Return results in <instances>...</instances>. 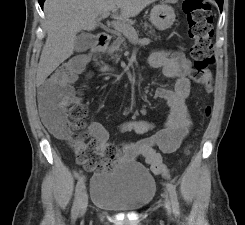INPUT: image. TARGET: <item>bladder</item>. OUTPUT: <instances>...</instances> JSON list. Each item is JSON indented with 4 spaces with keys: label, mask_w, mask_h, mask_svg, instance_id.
Wrapping results in <instances>:
<instances>
[{
    "label": "bladder",
    "mask_w": 245,
    "mask_h": 225,
    "mask_svg": "<svg viewBox=\"0 0 245 225\" xmlns=\"http://www.w3.org/2000/svg\"><path fill=\"white\" fill-rule=\"evenodd\" d=\"M156 182L141 164L121 161L111 170H100L90 178V202L113 211H138L148 206L156 193Z\"/></svg>",
    "instance_id": "31cf9c89"
}]
</instances>
